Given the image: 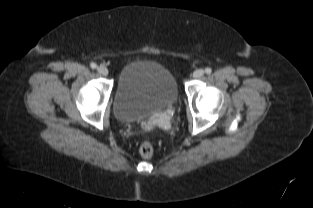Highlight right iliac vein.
<instances>
[{"label":"right iliac vein","mask_w":313,"mask_h":208,"mask_svg":"<svg viewBox=\"0 0 313 208\" xmlns=\"http://www.w3.org/2000/svg\"><path fill=\"white\" fill-rule=\"evenodd\" d=\"M98 73H100L103 76H107L108 75V69L105 66H99L97 68Z\"/></svg>","instance_id":"1"}]
</instances>
